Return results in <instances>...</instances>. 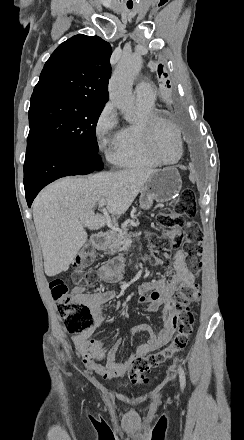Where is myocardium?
<instances>
[{
  "label": "myocardium",
  "mask_w": 244,
  "mask_h": 440,
  "mask_svg": "<svg viewBox=\"0 0 244 440\" xmlns=\"http://www.w3.org/2000/svg\"><path fill=\"white\" fill-rule=\"evenodd\" d=\"M168 121L169 120L167 118H162V115L160 113L154 112L147 119V121H146L147 125H144L142 127L144 130H149V128H150V130H149L150 132H145L144 133V136H145L144 140L148 141L146 143V146L149 147L148 149H149V152L151 154H156L158 152L154 148V146L156 144L153 142L154 138H152V137L155 136V133H156V128L155 127L158 124H162L163 127H166V126L169 127V129L173 130L177 134V137H178V152H177V156H176V158L174 160L167 161V160H164L159 154L155 155V159L160 164H163V165H173V164L178 163L180 158H181V156H182V152H183V141H182L181 133H180V131L175 126H173L174 124L172 122H168Z\"/></svg>",
  "instance_id": "1"
}]
</instances>
